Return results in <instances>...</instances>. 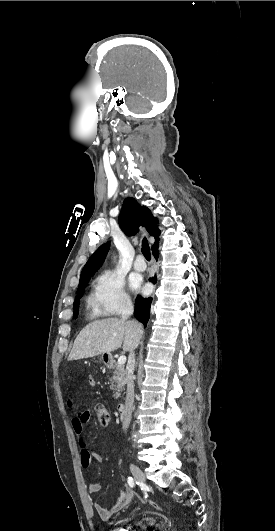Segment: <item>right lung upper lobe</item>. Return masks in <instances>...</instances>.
I'll return each mask as SVG.
<instances>
[{"label":"right lung upper lobe","instance_id":"obj_1","mask_svg":"<svg viewBox=\"0 0 275 531\" xmlns=\"http://www.w3.org/2000/svg\"><path fill=\"white\" fill-rule=\"evenodd\" d=\"M118 223L127 235H134L137 232L138 227L142 226L155 238V244L152 248L158 245L160 230H158L157 218L152 215L147 207L141 206L134 198L128 197L123 202ZM109 248L110 242L104 243L89 258L82 270L78 288L86 281H89L90 277L94 275L97 269L102 265Z\"/></svg>","mask_w":275,"mask_h":531}]
</instances>
